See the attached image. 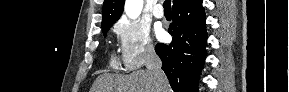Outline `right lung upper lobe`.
<instances>
[{
  "mask_svg": "<svg viewBox=\"0 0 289 92\" xmlns=\"http://www.w3.org/2000/svg\"><path fill=\"white\" fill-rule=\"evenodd\" d=\"M194 0H173V8L188 5ZM125 0H104L102 28L113 25L121 16Z\"/></svg>",
  "mask_w": 289,
  "mask_h": 92,
  "instance_id": "obj_1",
  "label": "right lung upper lobe"
}]
</instances>
